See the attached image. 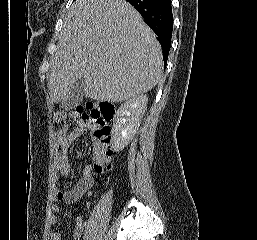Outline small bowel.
<instances>
[{"label": "small bowel", "instance_id": "small-bowel-1", "mask_svg": "<svg viewBox=\"0 0 257 240\" xmlns=\"http://www.w3.org/2000/svg\"><path fill=\"white\" fill-rule=\"evenodd\" d=\"M84 128L80 125L72 131L67 128L58 130L54 134L55 143V160L54 169L55 175L63 177L69 176L72 173V166L68 158V150L72 142L79 137ZM94 179L92 176V166H86L81 174L77 183L69 190L62 191L60 189L54 190V198L57 202H63L65 204H73L80 200L82 196L92 187ZM59 206L53 204L51 206L50 223L56 224L58 221ZM84 223L81 219H77L74 227L73 236L75 240H80L84 233ZM49 240H63V236L60 231L54 230L49 235Z\"/></svg>", "mask_w": 257, "mask_h": 240}]
</instances>
